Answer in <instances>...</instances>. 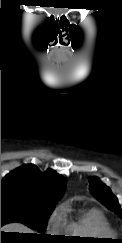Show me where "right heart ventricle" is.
<instances>
[{
    "label": "right heart ventricle",
    "instance_id": "right-heart-ventricle-1",
    "mask_svg": "<svg viewBox=\"0 0 122 243\" xmlns=\"http://www.w3.org/2000/svg\"><path fill=\"white\" fill-rule=\"evenodd\" d=\"M67 214L68 211H65V216ZM66 232L79 237L92 238H105L113 235L108 220L102 212L95 208L83 210L76 217L68 219Z\"/></svg>",
    "mask_w": 122,
    "mask_h": 243
}]
</instances>
